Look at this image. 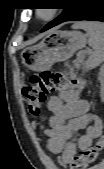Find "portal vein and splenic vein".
Returning <instances> with one entry per match:
<instances>
[{"mask_svg": "<svg viewBox=\"0 0 104 169\" xmlns=\"http://www.w3.org/2000/svg\"><path fill=\"white\" fill-rule=\"evenodd\" d=\"M83 59H84V56H83V55L78 56L77 59H76V62H77L76 65H77L79 62H82Z\"/></svg>", "mask_w": 104, "mask_h": 169, "instance_id": "portal-vein-and-splenic-vein-1", "label": "portal vein and splenic vein"}]
</instances>
